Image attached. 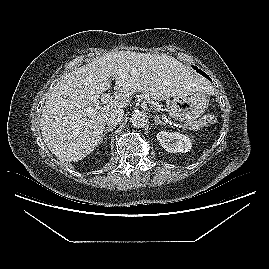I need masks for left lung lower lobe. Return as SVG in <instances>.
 <instances>
[{
    "label": "left lung lower lobe",
    "mask_w": 269,
    "mask_h": 269,
    "mask_svg": "<svg viewBox=\"0 0 269 269\" xmlns=\"http://www.w3.org/2000/svg\"><path fill=\"white\" fill-rule=\"evenodd\" d=\"M198 73H200L201 75H203L204 77L208 78L209 80H211L209 78V76L207 74H205L202 70L198 69L196 66H192Z\"/></svg>",
    "instance_id": "0a47b994"
}]
</instances>
